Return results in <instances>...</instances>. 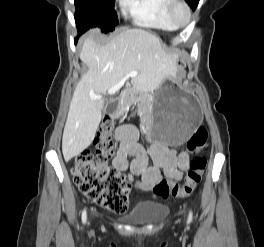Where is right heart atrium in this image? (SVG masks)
<instances>
[{
	"instance_id": "right-heart-atrium-1",
	"label": "right heart atrium",
	"mask_w": 264,
	"mask_h": 247,
	"mask_svg": "<svg viewBox=\"0 0 264 247\" xmlns=\"http://www.w3.org/2000/svg\"><path fill=\"white\" fill-rule=\"evenodd\" d=\"M120 3V6L125 9L127 8L128 4H129V0H118Z\"/></svg>"
}]
</instances>
